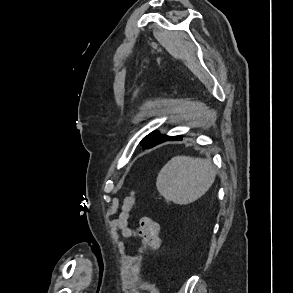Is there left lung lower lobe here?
<instances>
[{"instance_id":"obj_1","label":"left lung lower lobe","mask_w":293,"mask_h":293,"mask_svg":"<svg viewBox=\"0 0 293 293\" xmlns=\"http://www.w3.org/2000/svg\"><path fill=\"white\" fill-rule=\"evenodd\" d=\"M173 139L174 140H182V137L181 136H164L157 144H159V143H161L163 141H166V140H173Z\"/></svg>"}]
</instances>
